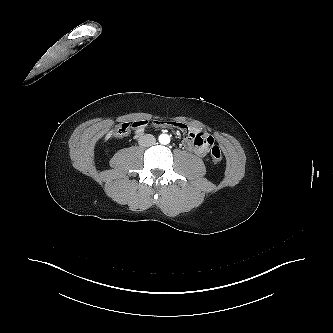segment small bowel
<instances>
[{
    "label": "small bowel",
    "mask_w": 333,
    "mask_h": 333,
    "mask_svg": "<svg viewBox=\"0 0 333 333\" xmlns=\"http://www.w3.org/2000/svg\"><path fill=\"white\" fill-rule=\"evenodd\" d=\"M154 124L158 127H169L183 132L185 134V137L182 141L184 148L193 151L200 156H205L209 151V147L214 143L213 138L207 133L194 127H189L179 121L156 120ZM146 126V120L135 121L133 123L135 135L141 136L144 133Z\"/></svg>",
    "instance_id": "1"
}]
</instances>
